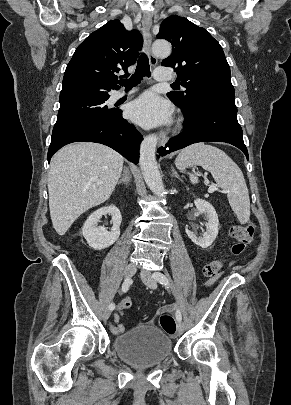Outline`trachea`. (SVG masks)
Here are the masks:
<instances>
[{
	"mask_svg": "<svg viewBox=\"0 0 291 405\" xmlns=\"http://www.w3.org/2000/svg\"><path fill=\"white\" fill-rule=\"evenodd\" d=\"M150 76V65L148 57L142 53L138 59L137 67L134 74L129 79H121L118 83L127 89H130L139 84L143 77Z\"/></svg>",
	"mask_w": 291,
	"mask_h": 405,
	"instance_id": "3493384b",
	"label": "trachea"
}]
</instances>
